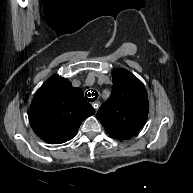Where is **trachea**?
Here are the masks:
<instances>
[{"instance_id":"1","label":"trachea","mask_w":193,"mask_h":193,"mask_svg":"<svg viewBox=\"0 0 193 193\" xmlns=\"http://www.w3.org/2000/svg\"><path fill=\"white\" fill-rule=\"evenodd\" d=\"M88 94H90V93H88ZM88 99V98H87ZM89 100V99H88ZM90 102H93V101H91V99H90Z\"/></svg>"}]
</instances>
